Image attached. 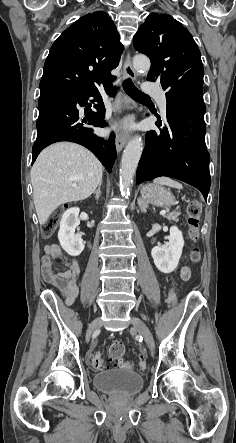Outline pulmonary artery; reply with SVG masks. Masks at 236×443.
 <instances>
[{
    "instance_id": "pulmonary-artery-1",
    "label": "pulmonary artery",
    "mask_w": 236,
    "mask_h": 443,
    "mask_svg": "<svg viewBox=\"0 0 236 443\" xmlns=\"http://www.w3.org/2000/svg\"><path fill=\"white\" fill-rule=\"evenodd\" d=\"M158 105L161 110L162 115H165L166 113V106H167V100L165 97V94L162 91H159L156 93Z\"/></svg>"
}]
</instances>
